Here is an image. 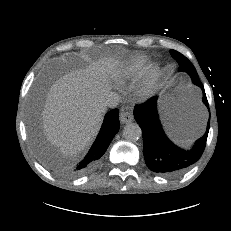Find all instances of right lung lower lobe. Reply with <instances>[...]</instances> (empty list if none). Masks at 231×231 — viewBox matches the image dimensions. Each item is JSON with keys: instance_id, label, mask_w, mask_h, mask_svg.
Returning a JSON list of instances; mask_svg holds the SVG:
<instances>
[{"instance_id": "98d812e1", "label": "right lung lower lobe", "mask_w": 231, "mask_h": 231, "mask_svg": "<svg viewBox=\"0 0 231 231\" xmlns=\"http://www.w3.org/2000/svg\"><path fill=\"white\" fill-rule=\"evenodd\" d=\"M119 127V110L113 109L106 114L100 132L85 158L75 166L67 168L66 174L79 176L96 168Z\"/></svg>"}]
</instances>
